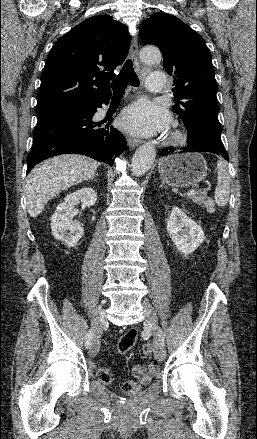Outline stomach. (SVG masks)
Returning a JSON list of instances; mask_svg holds the SVG:
<instances>
[{"label": "stomach", "mask_w": 257, "mask_h": 439, "mask_svg": "<svg viewBox=\"0 0 257 439\" xmlns=\"http://www.w3.org/2000/svg\"><path fill=\"white\" fill-rule=\"evenodd\" d=\"M158 171L168 185L186 188L196 185L207 176V163L196 152L176 153L161 159Z\"/></svg>", "instance_id": "0dacf381"}]
</instances>
